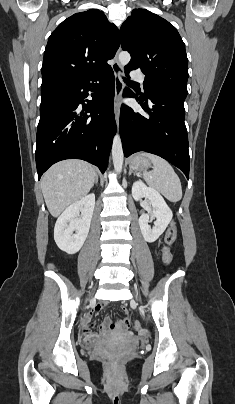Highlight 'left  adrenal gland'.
<instances>
[{"instance_id": "obj_1", "label": "left adrenal gland", "mask_w": 235, "mask_h": 404, "mask_svg": "<svg viewBox=\"0 0 235 404\" xmlns=\"http://www.w3.org/2000/svg\"><path fill=\"white\" fill-rule=\"evenodd\" d=\"M133 173L132 169L129 170V176Z\"/></svg>"}]
</instances>
